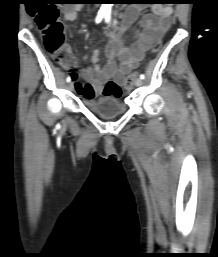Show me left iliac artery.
I'll list each match as a JSON object with an SVG mask.
<instances>
[{
    "label": "left iliac artery",
    "mask_w": 218,
    "mask_h": 257,
    "mask_svg": "<svg viewBox=\"0 0 218 257\" xmlns=\"http://www.w3.org/2000/svg\"><path fill=\"white\" fill-rule=\"evenodd\" d=\"M110 19H111V13H110V12H107V13L105 14V21H106V23H109V22H110ZM140 78H141V79H144V78H145L144 74H141V75H140Z\"/></svg>",
    "instance_id": "left-iliac-artery-1"
}]
</instances>
